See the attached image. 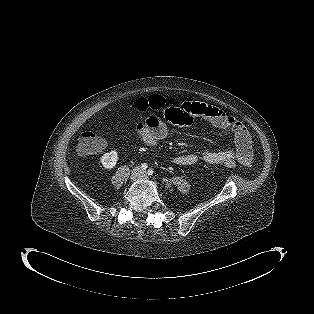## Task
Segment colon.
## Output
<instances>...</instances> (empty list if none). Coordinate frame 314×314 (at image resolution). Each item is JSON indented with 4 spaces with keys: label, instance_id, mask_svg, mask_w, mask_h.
<instances>
[{
    "label": "colon",
    "instance_id": "colon-1",
    "mask_svg": "<svg viewBox=\"0 0 314 314\" xmlns=\"http://www.w3.org/2000/svg\"><path fill=\"white\" fill-rule=\"evenodd\" d=\"M178 104L173 99H166L161 95H151L136 100L134 107L141 113H149L148 120L151 121L158 117L157 114L161 113V109L166 104ZM182 126V125H180ZM103 146V140L96 132L90 129L82 131L77 142V152L81 155H89L100 151ZM223 164L228 168H236L237 162L235 159L227 158Z\"/></svg>",
    "mask_w": 314,
    "mask_h": 314
}]
</instances>
